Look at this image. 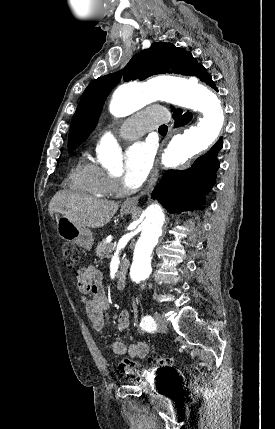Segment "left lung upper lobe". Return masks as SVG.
I'll use <instances>...</instances> for the list:
<instances>
[{
  "label": "left lung upper lobe",
  "mask_w": 275,
  "mask_h": 429,
  "mask_svg": "<svg viewBox=\"0 0 275 429\" xmlns=\"http://www.w3.org/2000/svg\"><path fill=\"white\" fill-rule=\"evenodd\" d=\"M202 67L190 52L171 43L155 42L136 54L123 71L95 79L85 89L72 118L69 151L79 146L95 128L104 100L121 77L130 81L162 73L197 76Z\"/></svg>",
  "instance_id": "5c2ea615"
}]
</instances>
